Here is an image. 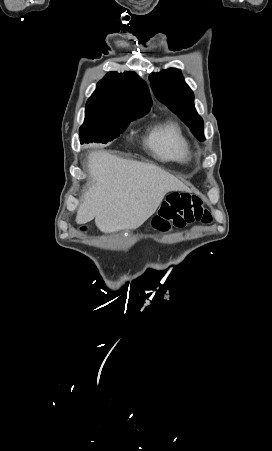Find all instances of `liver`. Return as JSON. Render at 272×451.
Segmentation results:
<instances>
[{"label": "liver", "instance_id": "6515ba94", "mask_svg": "<svg viewBox=\"0 0 272 451\" xmlns=\"http://www.w3.org/2000/svg\"><path fill=\"white\" fill-rule=\"evenodd\" d=\"M87 168L91 180L76 222L87 224L95 218L104 233L142 226L167 192H190L178 178L154 164L123 160L105 150L91 152Z\"/></svg>", "mask_w": 272, "mask_h": 451}]
</instances>
